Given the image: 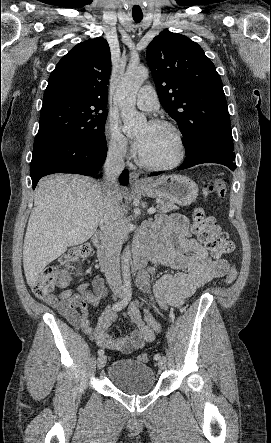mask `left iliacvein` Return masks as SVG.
<instances>
[{
	"label": "left iliac vein",
	"instance_id": "left-iliac-vein-1",
	"mask_svg": "<svg viewBox=\"0 0 271 443\" xmlns=\"http://www.w3.org/2000/svg\"><path fill=\"white\" fill-rule=\"evenodd\" d=\"M158 367L160 369H165L166 367V359L164 357H161L158 361Z\"/></svg>",
	"mask_w": 271,
	"mask_h": 443
}]
</instances>
